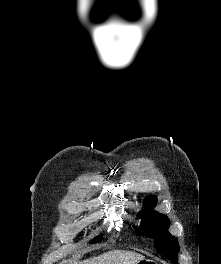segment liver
<instances>
[{
    "mask_svg": "<svg viewBox=\"0 0 221 264\" xmlns=\"http://www.w3.org/2000/svg\"><path fill=\"white\" fill-rule=\"evenodd\" d=\"M143 259H145L143 255L135 252L113 250L73 264H135Z\"/></svg>",
    "mask_w": 221,
    "mask_h": 264,
    "instance_id": "obj_1",
    "label": "liver"
}]
</instances>
